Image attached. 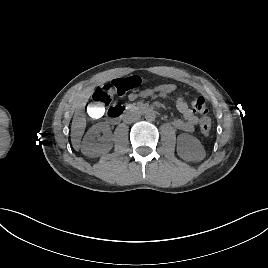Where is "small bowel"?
Segmentation results:
<instances>
[{"label":"small bowel","instance_id":"small-bowel-1","mask_svg":"<svg viewBox=\"0 0 268 268\" xmlns=\"http://www.w3.org/2000/svg\"><path fill=\"white\" fill-rule=\"evenodd\" d=\"M178 91V87L175 84L164 83L159 84L152 88H147L129 94V100L133 101L138 98L158 99L165 98L175 94ZM176 107L180 112L182 118L175 119L172 125L183 132H192L198 123V117L195 112L189 107L188 103L182 96H177Z\"/></svg>","mask_w":268,"mask_h":268}]
</instances>
